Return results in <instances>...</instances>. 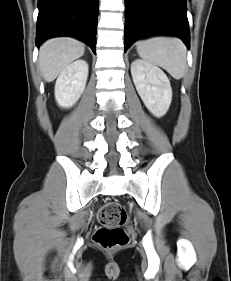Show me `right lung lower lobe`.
<instances>
[{"instance_id":"1","label":"right lung lower lobe","mask_w":231,"mask_h":281,"mask_svg":"<svg viewBox=\"0 0 231 281\" xmlns=\"http://www.w3.org/2000/svg\"><path fill=\"white\" fill-rule=\"evenodd\" d=\"M98 6L99 0H38L37 46L48 38L71 36L96 53Z\"/></svg>"}]
</instances>
